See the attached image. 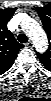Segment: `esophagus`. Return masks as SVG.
Listing matches in <instances>:
<instances>
[{
    "mask_svg": "<svg viewBox=\"0 0 51 101\" xmlns=\"http://www.w3.org/2000/svg\"><path fill=\"white\" fill-rule=\"evenodd\" d=\"M26 46H27L28 48H33L34 44H33L32 41H28V42L26 43Z\"/></svg>",
    "mask_w": 51,
    "mask_h": 101,
    "instance_id": "esophagus-1",
    "label": "esophagus"
}]
</instances>
